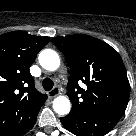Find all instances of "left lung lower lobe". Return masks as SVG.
I'll return each instance as SVG.
<instances>
[{
    "label": "left lung lower lobe",
    "mask_w": 136,
    "mask_h": 136,
    "mask_svg": "<svg viewBox=\"0 0 136 136\" xmlns=\"http://www.w3.org/2000/svg\"><path fill=\"white\" fill-rule=\"evenodd\" d=\"M120 118L110 115L70 112L60 120L64 127L77 136H103Z\"/></svg>",
    "instance_id": "obj_1"
}]
</instances>
